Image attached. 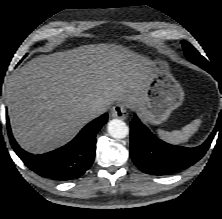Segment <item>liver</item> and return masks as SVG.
<instances>
[{
    "label": "liver",
    "instance_id": "1",
    "mask_svg": "<svg viewBox=\"0 0 222 219\" xmlns=\"http://www.w3.org/2000/svg\"><path fill=\"white\" fill-rule=\"evenodd\" d=\"M152 72L149 58L115 44L33 58L7 84L13 135L31 153L60 147L95 118L93 107L140 100Z\"/></svg>",
    "mask_w": 222,
    "mask_h": 219
}]
</instances>
